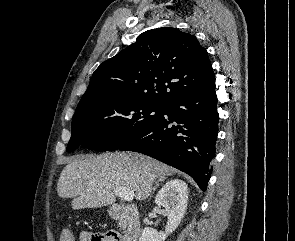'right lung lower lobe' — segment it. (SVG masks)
I'll use <instances>...</instances> for the list:
<instances>
[{
	"instance_id": "right-lung-lower-lobe-1",
	"label": "right lung lower lobe",
	"mask_w": 295,
	"mask_h": 241,
	"mask_svg": "<svg viewBox=\"0 0 295 241\" xmlns=\"http://www.w3.org/2000/svg\"><path fill=\"white\" fill-rule=\"evenodd\" d=\"M215 80L166 102L159 116L117 149L136 151L192 176L206 191L217 140Z\"/></svg>"
}]
</instances>
